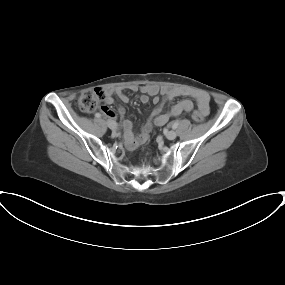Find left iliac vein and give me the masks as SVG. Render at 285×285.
<instances>
[{"label": "left iliac vein", "mask_w": 285, "mask_h": 285, "mask_svg": "<svg viewBox=\"0 0 285 285\" xmlns=\"http://www.w3.org/2000/svg\"><path fill=\"white\" fill-rule=\"evenodd\" d=\"M177 136V133L173 130H170L166 133V137L169 139V140H174Z\"/></svg>", "instance_id": "left-iliac-vein-1"}]
</instances>
